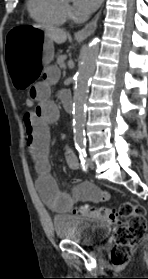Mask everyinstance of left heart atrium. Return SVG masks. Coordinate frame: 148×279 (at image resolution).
Here are the masks:
<instances>
[{"mask_svg":"<svg viewBox=\"0 0 148 279\" xmlns=\"http://www.w3.org/2000/svg\"><path fill=\"white\" fill-rule=\"evenodd\" d=\"M102 0H74L76 8L83 13L93 12Z\"/></svg>","mask_w":148,"mask_h":279,"instance_id":"left-heart-atrium-1","label":"left heart atrium"}]
</instances>
